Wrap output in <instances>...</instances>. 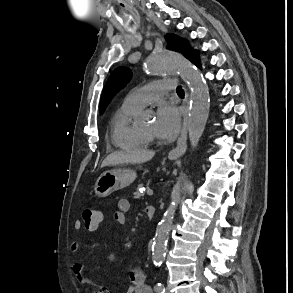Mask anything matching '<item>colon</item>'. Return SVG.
<instances>
[{"label": "colon", "instance_id": "5ec220e1", "mask_svg": "<svg viewBox=\"0 0 293 293\" xmlns=\"http://www.w3.org/2000/svg\"><path fill=\"white\" fill-rule=\"evenodd\" d=\"M84 226L89 229L98 227L101 221V212L94 208H85L81 214Z\"/></svg>", "mask_w": 293, "mask_h": 293}]
</instances>
